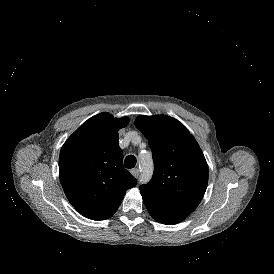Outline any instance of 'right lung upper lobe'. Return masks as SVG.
I'll return each mask as SVG.
<instances>
[{
	"label": "right lung upper lobe",
	"instance_id": "obj_1",
	"mask_svg": "<svg viewBox=\"0 0 274 274\" xmlns=\"http://www.w3.org/2000/svg\"><path fill=\"white\" fill-rule=\"evenodd\" d=\"M127 117L100 113L82 124L64 143L59 177L72 206L84 217L104 220L112 216L126 190L137 180L123 166L119 129Z\"/></svg>",
	"mask_w": 274,
	"mask_h": 274
}]
</instances>
